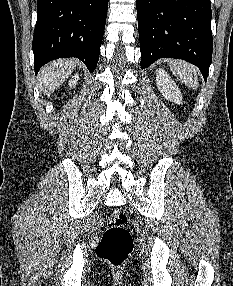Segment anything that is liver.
<instances>
[{"label": "liver", "instance_id": "1", "mask_svg": "<svg viewBox=\"0 0 233 286\" xmlns=\"http://www.w3.org/2000/svg\"><path fill=\"white\" fill-rule=\"evenodd\" d=\"M75 60H56L44 66L38 74L39 87L49 96L55 91L74 71Z\"/></svg>", "mask_w": 233, "mask_h": 286}]
</instances>
